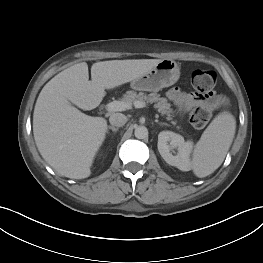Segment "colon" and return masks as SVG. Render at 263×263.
Instances as JSON below:
<instances>
[{
  "label": "colon",
  "instance_id": "obj_1",
  "mask_svg": "<svg viewBox=\"0 0 263 263\" xmlns=\"http://www.w3.org/2000/svg\"><path fill=\"white\" fill-rule=\"evenodd\" d=\"M217 76L212 70L198 69L191 74V84L201 98L208 101L193 107L189 112V122L195 128L205 127L211 118V109L217 105L214 88L216 86Z\"/></svg>",
  "mask_w": 263,
  "mask_h": 263
}]
</instances>
